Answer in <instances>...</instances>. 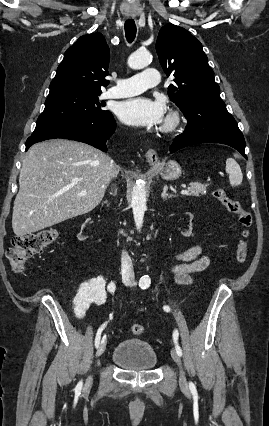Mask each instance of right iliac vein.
Listing matches in <instances>:
<instances>
[{
	"label": "right iliac vein",
	"instance_id": "right-iliac-vein-1",
	"mask_svg": "<svg viewBox=\"0 0 269 426\" xmlns=\"http://www.w3.org/2000/svg\"><path fill=\"white\" fill-rule=\"evenodd\" d=\"M122 282H123V284H124V285H128V284H130L131 280H130V278H129V277H123ZM105 348H106V340H105V339H103V340L101 341V343H100V345H99L98 349H97L96 357H100V356L104 353ZM91 386H92V377H91V376H89V377L87 378V380H86L85 384H84V391L89 390V389L91 388Z\"/></svg>",
	"mask_w": 269,
	"mask_h": 426
}]
</instances>
